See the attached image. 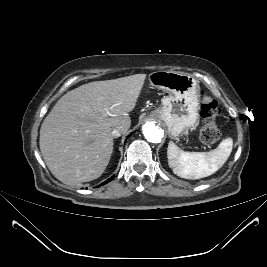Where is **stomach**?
<instances>
[{
  "instance_id": "0dacf381",
  "label": "stomach",
  "mask_w": 267,
  "mask_h": 267,
  "mask_svg": "<svg viewBox=\"0 0 267 267\" xmlns=\"http://www.w3.org/2000/svg\"><path fill=\"white\" fill-rule=\"evenodd\" d=\"M149 79L166 94L152 116L165 123L172 139L179 140L199 120L198 81L192 75L173 71H157Z\"/></svg>"
}]
</instances>
